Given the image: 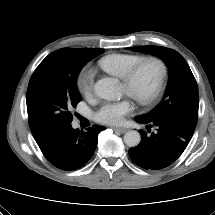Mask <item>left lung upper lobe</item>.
<instances>
[{
	"mask_svg": "<svg viewBox=\"0 0 215 215\" xmlns=\"http://www.w3.org/2000/svg\"><path fill=\"white\" fill-rule=\"evenodd\" d=\"M131 49L161 58L169 68V81L162 101L141 117L172 119L195 130L198 118V87L185 59L175 50L159 46H136Z\"/></svg>",
	"mask_w": 215,
	"mask_h": 215,
	"instance_id": "1",
	"label": "left lung upper lobe"
}]
</instances>
